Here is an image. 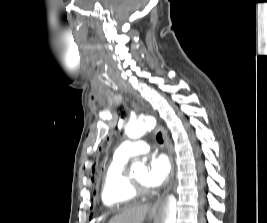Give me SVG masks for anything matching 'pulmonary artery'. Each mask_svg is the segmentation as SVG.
<instances>
[{
	"label": "pulmonary artery",
	"mask_w": 267,
	"mask_h": 223,
	"mask_svg": "<svg viewBox=\"0 0 267 223\" xmlns=\"http://www.w3.org/2000/svg\"><path fill=\"white\" fill-rule=\"evenodd\" d=\"M150 150V145L146 142L125 141L116 150L119 157L130 158Z\"/></svg>",
	"instance_id": "pulmonary-artery-1"
}]
</instances>
